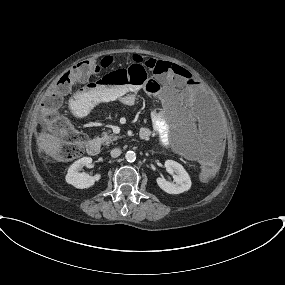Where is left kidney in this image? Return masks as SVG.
<instances>
[{
	"mask_svg": "<svg viewBox=\"0 0 285 285\" xmlns=\"http://www.w3.org/2000/svg\"><path fill=\"white\" fill-rule=\"evenodd\" d=\"M165 168L173 176L174 183L167 181L164 177H158V186L169 194H180L188 191L191 187V179L184 167L176 161L166 160Z\"/></svg>",
	"mask_w": 285,
	"mask_h": 285,
	"instance_id": "5707ae66",
	"label": "left kidney"
}]
</instances>
